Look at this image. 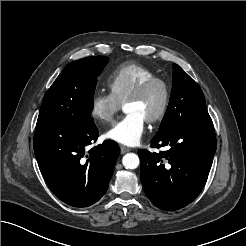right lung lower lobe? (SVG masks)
Listing matches in <instances>:
<instances>
[{
    "mask_svg": "<svg viewBox=\"0 0 246 246\" xmlns=\"http://www.w3.org/2000/svg\"><path fill=\"white\" fill-rule=\"evenodd\" d=\"M98 138L95 125H36L33 145L40 171L51 191L74 207H87L106 193L120 154L118 145Z\"/></svg>",
    "mask_w": 246,
    "mask_h": 246,
    "instance_id": "98d812e1",
    "label": "right lung lower lobe"
}]
</instances>
